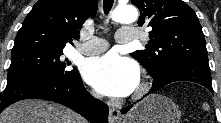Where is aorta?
Segmentation results:
<instances>
[{"instance_id": "762f6f07", "label": "aorta", "mask_w": 221, "mask_h": 123, "mask_svg": "<svg viewBox=\"0 0 221 123\" xmlns=\"http://www.w3.org/2000/svg\"><path fill=\"white\" fill-rule=\"evenodd\" d=\"M111 18L118 23H132L138 19V11L132 5L118 6L112 12Z\"/></svg>"}]
</instances>
